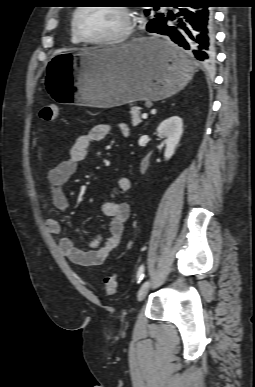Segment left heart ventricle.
<instances>
[{
  "instance_id": "left-heart-ventricle-1",
  "label": "left heart ventricle",
  "mask_w": 255,
  "mask_h": 387,
  "mask_svg": "<svg viewBox=\"0 0 255 387\" xmlns=\"http://www.w3.org/2000/svg\"><path fill=\"white\" fill-rule=\"evenodd\" d=\"M77 22L82 34L91 39L114 36L125 26L124 16L110 6L87 7L79 13Z\"/></svg>"
}]
</instances>
